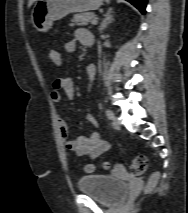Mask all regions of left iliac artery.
<instances>
[{
    "mask_svg": "<svg viewBox=\"0 0 188 213\" xmlns=\"http://www.w3.org/2000/svg\"><path fill=\"white\" fill-rule=\"evenodd\" d=\"M106 115H107V117H108L109 119H113V118H114V113H113V111L110 110V109H107V110H106Z\"/></svg>",
    "mask_w": 188,
    "mask_h": 213,
    "instance_id": "left-iliac-artery-1",
    "label": "left iliac artery"
}]
</instances>
